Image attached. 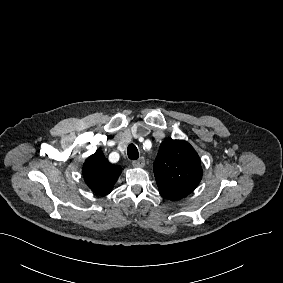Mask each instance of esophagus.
<instances>
[{"mask_svg": "<svg viewBox=\"0 0 283 283\" xmlns=\"http://www.w3.org/2000/svg\"><path fill=\"white\" fill-rule=\"evenodd\" d=\"M145 163H146L145 158L144 157H140L139 159L134 160L132 162V165L134 167H137V168H142V167H144Z\"/></svg>", "mask_w": 283, "mask_h": 283, "instance_id": "obj_1", "label": "esophagus"}]
</instances>
